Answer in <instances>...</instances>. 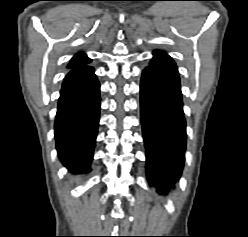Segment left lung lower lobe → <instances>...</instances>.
I'll list each match as a JSON object with an SVG mask.
<instances>
[{
  "instance_id": "0a47b994",
  "label": "left lung lower lobe",
  "mask_w": 248,
  "mask_h": 237,
  "mask_svg": "<svg viewBox=\"0 0 248 237\" xmlns=\"http://www.w3.org/2000/svg\"><path fill=\"white\" fill-rule=\"evenodd\" d=\"M140 103L148 181L163 194L179 179L184 163L186 129L178 73L151 61L142 74Z\"/></svg>"
}]
</instances>
